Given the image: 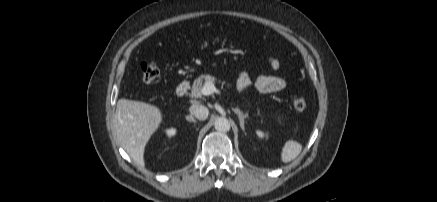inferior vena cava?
<instances>
[{
  "mask_svg": "<svg viewBox=\"0 0 437 202\" xmlns=\"http://www.w3.org/2000/svg\"><path fill=\"white\" fill-rule=\"evenodd\" d=\"M189 111L191 115L199 120H205L209 114L208 108L198 103L191 105Z\"/></svg>",
  "mask_w": 437,
  "mask_h": 202,
  "instance_id": "1",
  "label": "inferior vena cava"
}]
</instances>
